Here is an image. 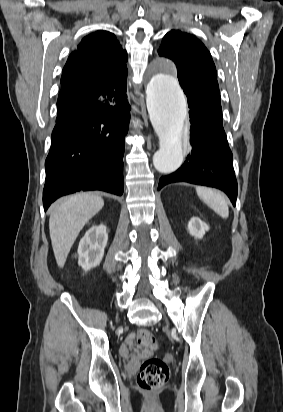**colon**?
<instances>
[{
  "mask_svg": "<svg viewBox=\"0 0 283 412\" xmlns=\"http://www.w3.org/2000/svg\"><path fill=\"white\" fill-rule=\"evenodd\" d=\"M137 342L147 349H155L158 344L148 329H140L136 333ZM169 378L168 365L158 357L145 359L139 369L137 382L141 389L148 393H154L160 389Z\"/></svg>",
  "mask_w": 283,
  "mask_h": 412,
  "instance_id": "5ec220e1",
  "label": "colon"
}]
</instances>
